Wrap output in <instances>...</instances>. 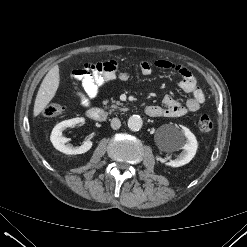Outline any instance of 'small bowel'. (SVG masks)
I'll return each mask as SVG.
<instances>
[{"label":"small bowel","mask_w":247,"mask_h":247,"mask_svg":"<svg viewBox=\"0 0 247 247\" xmlns=\"http://www.w3.org/2000/svg\"><path fill=\"white\" fill-rule=\"evenodd\" d=\"M154 66L178 73L181 76L178 84L179 88L191 96L184 105L172 96H165L162 105L151 106V117L175 118L199 110L201 104L205 101V93L199 87L196 78L189 69L165 59L157 60ZM139 68L144 76L150 75L153 71L152 64L148 61L141 62ZM72 77L82 85V91L77 93L81 105L88 107L98 97L101 88L117 78H128V74L120 70L117 62L104 61L85 64L81 69L73 71Z\"/></svg>","instance_id":"c3829d8e"}]
</instances>
